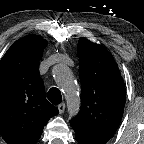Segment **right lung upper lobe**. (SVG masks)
I'll list each match as a JSON object with an SVG mask.
<instances>
[{"mask_svg": "<svg viewBox=\"0 0 144 144\" xmlns=\"http://www.w3.org/2000/svg\"><path fill=\"white\" fill-rule=\"evenodd\" d=\"M47 41L28 35L0 61V134L8 144H33L48 120L59 113L44 95L39 61Z\"/></svg>", "mask_w": 144, "mask_h": 144, "instance_id": "obj_1", "label": "right lung upper lobe"}]
</instances>
